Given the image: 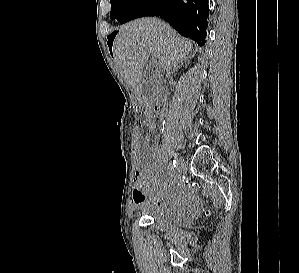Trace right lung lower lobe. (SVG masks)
<instances>
[{
	"instance_id": "right-lung-lower-lobe-1",
	"label": "right lung lower lobe",
	"mask_w": 299,
	"mask_h": 273,
	"mask_svg": "<svg viewBox=\"0 0 299 273\" xmlns=\"http://www.w3.org/2000/svg\"><path fill=\"white\" fill-rule=\"evenodd\" d=\"M160 16L181 35L205 44L209 17L208 0H136L120 20Z\"/></svg>"
}]
</instances>
